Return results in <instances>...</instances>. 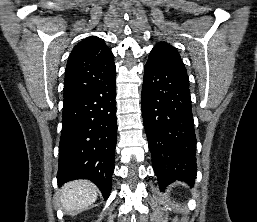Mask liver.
<instances>
[{
    "instance_id": "obj_1",
    "label": "liver",
    "mask_w": 257,
    "mask_h": 222,
    "mask_svg": "<svg viewBox=\"0 0 257 222\" xmlns=\"http://www.w3.org/2000/svg\"><path fill=\"white\" fill-rule=\"evenodd\" d=\"M60 200L67 212L86 209L97 199V188L88 180H74L61 188Z\"/></svg>"
}]
</instances>
